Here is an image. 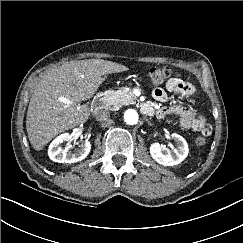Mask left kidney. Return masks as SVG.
<instances>
[{
    "instance_id": "left-kidney-1",
    "label": "left kidney",
    "mask_w": 243,
    "mask_h": 243,
    "mask_svg": "<svg viewBox=\"0 0 243 243\" xmlns=\"http://www.w3.org/2000/svg\"><path fill=\"white\" fill-rule=\"evenodd\" d=\"M171 137L177 143V148L172 151L163 147L159 143H153L150 146V154L152 158L163 166H174L181 163L187 157L189 152L188 144L182 136L173 133Z\"/></svg>"
}]
</instances>
